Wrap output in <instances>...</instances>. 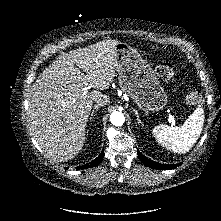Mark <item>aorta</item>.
Wrapping results in <instances>:
<instances>
[{
  "mask_svg": "<svg viewBox=\"0 0 221 221\" xmlns=\"http://www.w3.org/2000/svg\"><path fill=\"white\" fill-rule=\"evenodd\" d=\"M110 121L114 126H122L125 122V116L119 111H114L110 115Z\"/></svg>",
  "mask_w": 221,
  "mask_h": 221,
  "instance_id": "1",
  "label": "aorta"
}]
</instances>
